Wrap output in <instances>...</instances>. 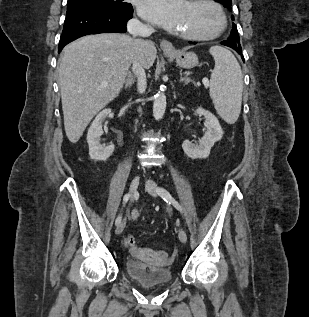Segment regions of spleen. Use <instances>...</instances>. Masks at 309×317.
Returning a JSON list of instances; mask_svg holds the SVG:
<instances>
[{"label":"spleen","instance_id":"3e777b00","mask_svg":"<svg viewBox=\"0 0 309 317\" xmlns=\"http://www.w3.org/2000/svg\"><path fill=\"white\" fill-rule=\"evenodd\" d=\"M215 61L210 78V97L217 113L229 124L237 121L241 112L243 75L235 56L226 48L212 46Z\"/></svg>","mask_w":309,"mask_h":317}]
</instances>
